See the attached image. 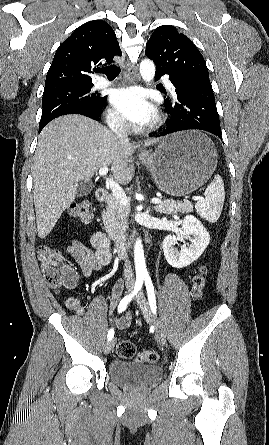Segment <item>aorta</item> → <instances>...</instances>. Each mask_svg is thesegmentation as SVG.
I'll return each mask as SVG.
<instances>
[{
    "label": "aorta",
    "instance_id": "obj_1",
    "mask_svg": "<svg viewBox=\"0 0 269 445\" xmlns=\"http://www.w3.org/2000/svg\"><path fill=\"white\" fill-rule=\"evenodd\" d=\"M140 74L144 81L148 83L151 82L155 76L154 63L149 59L143 60L140 63ZM134 262L136 274L138 276H145L148 274L145 263L143 245L140 239H137L134 245Z\"/></svg>",
    "mask_w": 269,
    "mask_h": 445
}]
</instances>
